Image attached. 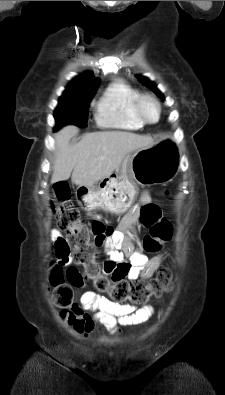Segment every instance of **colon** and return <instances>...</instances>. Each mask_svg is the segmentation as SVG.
<instances>
[{
	"mask_svg": "<svg viewBox=\"0 0 225 395\" xmlns=\"http://www.w3.org/2000/svg\"><path fill=\"white\" fill-rule=\"evenodd\" d=\"M50 210L57 218L59 227L65 231L73 252L71 261L82 267V279L91 283L96 292L107 294L116 304L127 302L141 305L150 297L169 291L172 287V275L168 269L158 272L150 281H127L108 278L103 266L98 262L95 240L92 241L88 228L80 219L77 208L71 202L70 189L67 184L58 182L54 185L49 203ZM140 220L149 229L142 240L146 252H155L172 238L171 223L161 216L160 209L147 204L141 209ZM50 292L56 306L68 309L73 301L71 281H67L66 270L53 265L49 272Z\"/></svg>",
	"mask_w": 225,
	"mask_h": 395,
	"instance_id": "colon-1",
	"label": "colon"
}]
</instances>
